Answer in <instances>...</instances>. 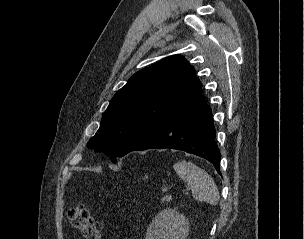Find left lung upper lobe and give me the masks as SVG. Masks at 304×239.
<instances>
[{
	"label": "left lung upper lobe",
	"instance_id": "5c2ea615",
	"mask_svg": "<svg viewBox=\"0 0 304 239\" xmlns=\"http://www.w3.org/2000/svg\"><path fill=\"white\" fill-rule=\"evenodd\" d=\"M202 93L193 67L180 55L135 73L110 101L89 148L122 157Z\"/></svg>",
	"mask_w": 304,
	"mask_h": 239
}]
</instances>
